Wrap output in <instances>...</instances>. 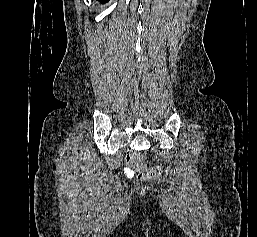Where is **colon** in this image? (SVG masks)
Returning <instances> with one entry per match:
<instances>
[{
  "mask_svg": "<svg viewBox=\"0 0 257 237\" xmlns=\"http://www.w3.org/2000/svg\"><path fill=\"white\" fill-rule=\"evenodd\" d=\"M141 160L142 155L140 153H135L126 157L127 162H135L136 171L140 179L148 180L160 175L161 170L159 167L148 166L144 164Z\"/></svg>",
  "mask_w": 257,
  "mask_h": 237,
  "instance_id": "5ec220e1",
  "label": "colon"
}]
</instances>
